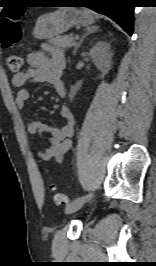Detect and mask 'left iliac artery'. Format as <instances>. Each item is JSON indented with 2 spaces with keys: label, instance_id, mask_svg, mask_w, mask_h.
Instances as JSON below:
<instances>
[{
  "label": "left iliac artery",
  "instance_id": "1",
  "mask_svg": "<svg viewBox=\"0 0 156 266\" xmlns=\"http://www.w3.org/2000/svg\"><path fill=\"white\" fill-rule=\"evenodd\" d=\"M94 197H95L94 190H91V192H88L86 196H79V198L74 199V201L78 200L79 203H84L85 200H88L89 198H94Z\"/></svg>",
  "mask_w": 156,
  "mask_h": 266
}]
</instances>
